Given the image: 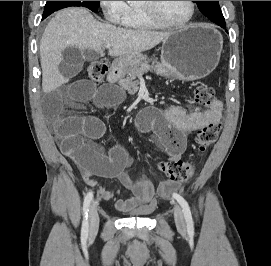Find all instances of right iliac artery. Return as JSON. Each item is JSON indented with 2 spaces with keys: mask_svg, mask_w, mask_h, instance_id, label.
I'll list each match as a JSON object with an SVG mask.
<instances>
[{
  "mask_svg": "<svg viewBox=\"0 0 271 266\" xmlns=\"http://www.w3.org/2000/svg\"><path fill=\"white\" fill-rule=\"evenodd\" d=\"M93 199V192H89L83 203V223H82V230H81V239L83 242H86L87 237H88V228H89V223H88V212H89V206L90 203Z\"/></svg>",
  "mask_w": 271,
  "mask_h": 266,
  "instance_id": "right-iliac-artery-1",
  "label": "right iliac artery"
}]
</instances>
